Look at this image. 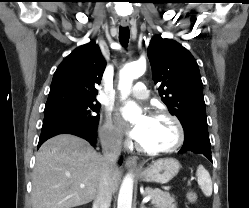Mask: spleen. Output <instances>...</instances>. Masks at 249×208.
<instances>
[{
  "instance_id": "spleen-1",
  "label": "spleen",
  "mask_w": 249,
  "mask_h": 208,
  "mask_svg": "<svg viewBox=\"0 0 249 208\" xmlns=\"http://www.w3.org/2000/svg\"><path fill=\"white\" fill-rule=\"evenodd\" d=\"M198 184L205 196L212 195V181L209 172L199 165L196 172Z\"/></svg>"
}]
</instances>
